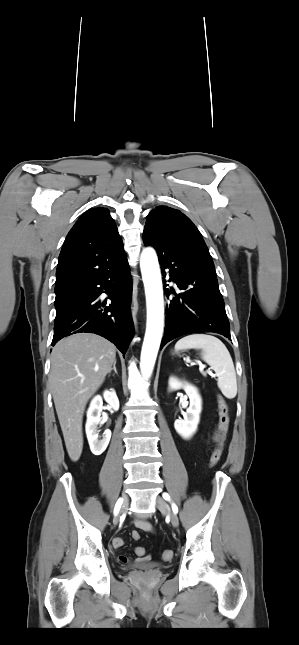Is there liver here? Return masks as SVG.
<instances>
[{"instance_id":"1","label":"liver","mask_w":299,"mask_h":645,"mask_svg":"<svg viewBox=\"0 0 299 645\" xmlns=\"http://www.w3.org/2000/svg\"><path fill=\"white\" fill-rule=\"evenodd\" d=\"M116 361L115 346L91 333L60 340L51 353L49 384L66 449L78 461L83 449L82 419L90 397Z\"/></svg>"}]
</instances>
